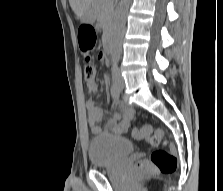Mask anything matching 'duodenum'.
Returning a JSON list of instances; mask_svg holds the SVG:
<instances>
[{"mask_svg": "<svg viewBox=\"0 0 223 191\" xmlns=\"http://www.w3.org/2000/svg\"><path fill=\"white\" fill-rule=\"evenodd\" d=\"M110 53H111V38L109 35H106L104 39V54L108 56Z\"/></svg>", "mask_w": 223, "mask_h": 191, "instance_id": "410a0bca", "label": "duodenum"}]
</instances>
